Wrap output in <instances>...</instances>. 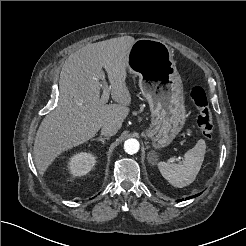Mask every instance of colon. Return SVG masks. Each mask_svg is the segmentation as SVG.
<instances>
[{"label":"colon","instance_id":"1","mask_svg":"<svg viewBox=\"0 0 246 246\" xmlns=\"http://www.w3.org/2000/svg\"><path fill=\"white\" fill-rule=\"evenodd\" d=\"M189 97L198 110L196 122L201 135L211 138L214 131V120L205 90L200 86H193L189 91Z\"/></svg>","mask_w":246,"mask_h":246}]
</instances>
